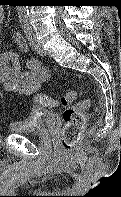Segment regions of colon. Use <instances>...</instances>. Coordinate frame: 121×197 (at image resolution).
Returning a JSON list of instances; mask_svg holds the SVG:
<instances>
[{
  "label": "colon",
  "mask_w": 121,
  "mask_h": 197,
  "mask_svg": "<svg viewBox=\"0 0 121 197\" xmlns=\"http://www.w3.org/2000/svg\"><path fill=\"white\" fill-rule=\"evenodd\" d=\"M76 93L73 91L61 96L59 99L51 98L45 93H38L35 96V103L38 106L55 108L58 106L65 107L63 112L64 126L61 132V143L65 151H73L86 125V110L91 105V98L87 94L83 100L74 103Z\"/></svg>",
  "instance_id": "1"
}]
</instances>
